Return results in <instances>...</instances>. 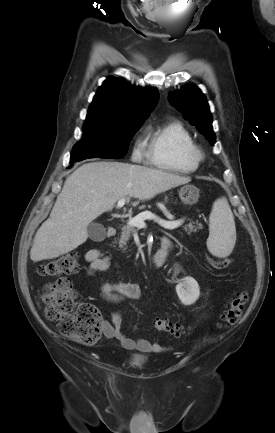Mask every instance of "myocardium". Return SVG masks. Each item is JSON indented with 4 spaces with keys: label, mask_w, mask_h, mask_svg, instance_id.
Returning <instances> with one entry per match:
<instances>
[{
    "label": "myocardium",
    "mask_w": 275,
    "mask_h": 433,
    "mask_svg": "<svg viewBox=\"0 0 275 433\" xmlns=\"http://www.w3.org/2000/svg\"><path fill=\"white\" fill-rule=\"evenodd\" d=\"M194 156L200 162L204 158V153L200 148L196 147L194 151Z\"/></svg>",
    "instance_id": "1"
}]
</instances>
